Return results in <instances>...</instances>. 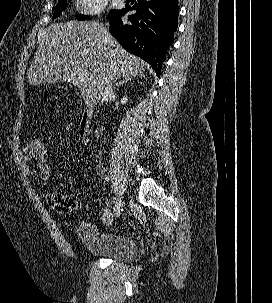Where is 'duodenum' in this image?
Listing matches in <instances>:
<instances>
[{
    "label": "duodenum",
    "mask_w": 272,
    "mask_h": 303,
    "mask_svg": "<svg viewBox=\"0 0 272 303\" xmlns=\"http://www.w3.org/2000/svg\"><path fill=\"white\" fill-rule=\"evenodd\" d=\"M93 112L94 108L92 105H88L85 108L78 127V135L80 138L86 137L93 117Z\"/></svg>",
    "instance_id": "410a0bca"
}]
</instances>
